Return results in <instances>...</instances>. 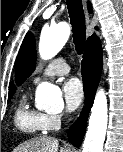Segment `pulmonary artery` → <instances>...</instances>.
Instances as JSON below:
<instances>
[{
	"label": "pulmonary artery",
	"instance_id": "1",
	"mask_svg": "<svg viewBox=\"0 0 123 152\" xmlns=\"http://www.w3.org/2000/svg\"><path fill=\"white\" fill-rule=\"evenodd\" d=\"M70 71V67L68 63L63 58H56L52 60L43 70L42 72L36 76L33 80L35 84L40 82L42 79L64 75Z\"/></svg>",
	"mask_w": 123,
	"mask_h": 152
}]
</instances>
